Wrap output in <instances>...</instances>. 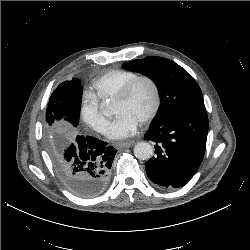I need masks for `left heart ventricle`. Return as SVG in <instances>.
I'll return each mask as SVG.
<instances>
[{"label":"left heart ventricle","mask_w":250,"mask_h":250,"mask_svg":"<svg viewBox=\"0 0 250 250\" xmlns=\"http://www.w3.org/2000/svg\"><path fill=\"white\" fill-rule=\"evenodd\" d=\"M154 96L150 85L146 82L139 83L128 100L115 102L116 114H130L140 122L151 111Z\"/></svg>","instance_id":"obj_1"}]
</instances>
